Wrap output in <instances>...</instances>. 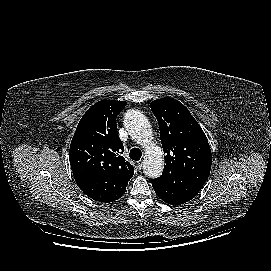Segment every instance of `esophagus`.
Instances as JSON below:
<instances>
[{"mask_svg": "<svg viewBox=\"0 0 271 271\" xmlns=\"http://www.w3.org/2000/svg\"><path fill=\"white\" fill-rule=\"evenodd\" d=\"M142 166H143V161H141V160L138 161V162H137V169H138V170H141V169H142Z\"/></svg>", "mask_w": 271, "mask_h": 271, "instance_id": "1", "label": "esophagus"}]
</instances>
